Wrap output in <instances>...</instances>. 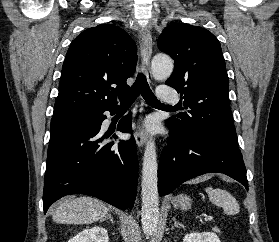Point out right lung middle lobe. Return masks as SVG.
Masks as SVG:
<instances>
[{"label":"right lung middle lobe","mask_w":279,"mask_h":242,"mask_svg":"<svg viewBox=\"0 0 279 242\" xmlns=\"http://www.w3.org/2000/svg\"><path fill=\"white\" fill-rule=\"evenodd\" d=\"M87 114L81 112L52 117L50 136L57 135L65 129L82 125Z\"/></svg>","instance_id":"1"}]
</instances>
